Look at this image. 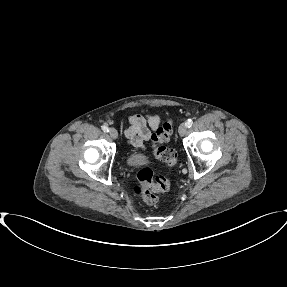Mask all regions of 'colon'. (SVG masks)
<instances>
[{
	"mask_svg": "<svg viewBox=\"0 0 287 287\" xmlns=\"http://www.w3.org/2000/svg\"><path fill=\"white\" fill-rule=\"evenodd\" d=\"M173 132V122L168 118L161 127L157 128L152 135L154 146V157L171 169L177 162V153L168 148L165 144L169 141ZM170 188V181L165 176H153L148 167H143L137 172V183L133 187L134 194L147 204L157 202L158 193L167 192Z\"/></svg>",
	"mask_w": 287,
	"mask_h": 287,
	"instance_id": "1",
	"label": "colon"
}]
</instances>
